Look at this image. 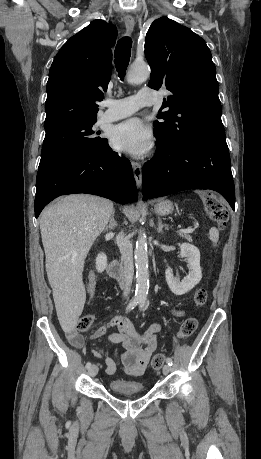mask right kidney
Returning <instances> with one entry per match:
<instances>
[{"instance_id":"1","label":"right kidney","mask_w":261,"mask_h":459,"mask_svg":"<svg viewBox=\"0 0 261 459\" xmlns=\"http://www.w3.org/2000/svg\"><path fill=\"white\" fill-rule=\"evenodd\" d=\"M107 266V256L105 254H99L96 257V269L98 272H103Z\"/></svg>"}]
</instances>
